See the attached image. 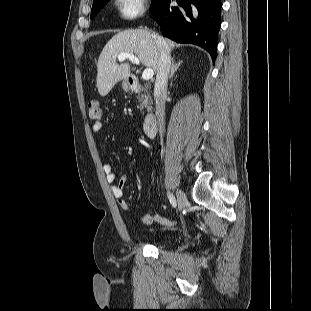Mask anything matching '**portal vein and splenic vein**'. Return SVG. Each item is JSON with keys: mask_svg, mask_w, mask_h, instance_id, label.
<instances>
[{"mask_svg": "<svg viewBox=\"0 0 311 311\" xmlns=\"http://www.w3.org/2000/svg\"><path fill=\"white\" fill-rule=\"evenodd\" d=\"M125 59H129L134 64H140V60L132 53L123 52L118 55L119 61H124ZM154 75V71L151 68H147L142 73L143 80H150Z\"/></svg>", "mask_w": 311, "mask_h": 311, "instance_id": "1", "label": "portal vein and splenic vein"}]
</instances>
